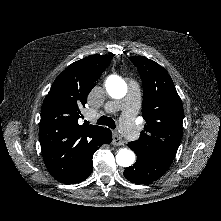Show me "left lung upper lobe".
<instances>
[{
  "mask_svg": "<svg viewBox=\"0 0 221 221\" xmlns=\"http://www.w3.org/2000/svg\"><path fill=\"white\" fill-rule=\"evenodd\" d=\"M143 82L142 114L146 121L137 141L131 142L137 158L173 159L182 138L181 99L169 74L145 57H131Z\"/></svg>",
  "mask_w": 221,
  "mask_h": 221,
  "instance_id": "obj_1",
  "label": "left lung upper lobe"
}]
</instances>
